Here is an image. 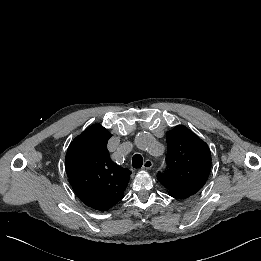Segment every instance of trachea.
Wrapping results in <instances>:
<instances>
[{"label": "trachea", "mask_w": 261, "mask_h": 261, "mask_svg": "<svg viewBox=\"0 0 261 261\" xmlns=\"http://www.w3.org/2000/svg\"><path fill=\"white\" fill-rule=\"evenodd\" d=\"M132 165L135 169L141 168L143 165V158L140 154H135L132 158Z\"/></svg>", "instance_id": "obj_1"}]
</instances>
